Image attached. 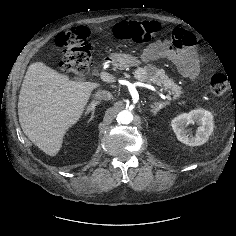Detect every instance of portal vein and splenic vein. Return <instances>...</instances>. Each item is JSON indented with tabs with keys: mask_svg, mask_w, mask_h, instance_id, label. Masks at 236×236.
<instances>
[{
	"mask_svg": "<svg viewBox=\"0 0 236 236\" xmlns=\"http://www.w3.org/2000/svg\"><path fill=\"white\" fill-rule=\"evenodd\" d=\"M100 77H101V79H102L103 81L108 82V83H113V82L116 81L114 76H112L111 74H109V73H107V72H105V71H102V72L100 73ZM166 98H167L168 100H171V97H170L169 95H166Z\"/></svg>",
	"mask_w": 236,
	"mask_h": 236,
	"instance_id": "18ae733b",
	"label": "portal vein and splenic vein"
}]
</instances>
